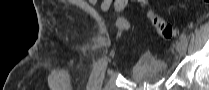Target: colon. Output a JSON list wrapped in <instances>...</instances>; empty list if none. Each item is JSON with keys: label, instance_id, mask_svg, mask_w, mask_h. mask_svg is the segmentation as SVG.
<instances>
[{"label": "colon", "instance_id": "obj_1", "mask_svg": "<svg viewBox=\"0 0 209 90\" xmlns=\"http://www.w3.org/2000/svg\"><path fill=\"white\" fill-rule=\"evenodd\" d=\"M126 2H127V0L115 1V10H117V11L121 10L125 6ZM139 2L146 7L148 17L150 18L153 26L155 27L157 32L162 36V38H164L165 40H172L178 36L179 31L161 18L149 6V1L141 0ZM201 5L203 8H207L209 6V0H203L201 2ZM117 24L122 30L128 29V22L125 19H122V18L119 19L117 21Z\"/></svg>", "mask_w": 209, "mask_h": 90}]
</instances>
